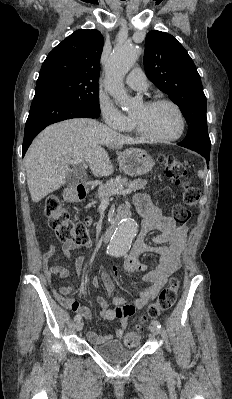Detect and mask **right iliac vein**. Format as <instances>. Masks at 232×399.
<instances>
[{
  "mask_svg": "<svg viewBox=\"0 0 232 399\" xmlns=\"http://www.w3.org/2000/svg\"><path fill=\"white\" fill-rule=\"evenodd\" d=\"M83 325H84V322H83V321H80V322L77 324L76 329H77L78 331H81Z\"/></svg>",
  "mask_w": 232,
  "mask_h": 399,
  "instance_id": "1",
  "label": "right iliac vein"
}]
</instances>
